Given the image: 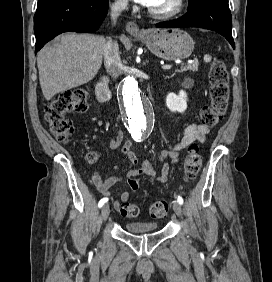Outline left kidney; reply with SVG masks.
Segmentation results:
<instances>
[{
    "mask_svg": "<svg viewBox=\"0 0 272 282\" xmlns=\"http://www.w3.org/2000/svg\"><path fill=\"white\" fill-rule=\"evenodd\" d=\"M193 80H187L183 83L184 87L191 88ZM166 106L171 112L183 113L187 109V94L185 91H179V94L169 93L166 97Z\"/></svg>",
    "mask_w": 272,
    "mask_h": 282,
    "instance_id": "obj_1",
    "label": "left kidney"
}]
</instances>
